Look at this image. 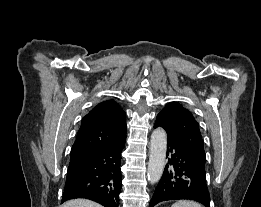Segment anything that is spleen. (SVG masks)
<instances>
[{
    "instance_id": "spleen-1",
    "label": "spleen",
    "mask_w": 261,
    "mask_h": 207,
    "mask_svg": "<svg viewBox=\"0 0 261 207\" xmlns=\"http://www.w3.org/2000/svg\"><path fill=\"white\" fill-rule=\"evenodd\" d=\"M171 207H203L200 204L194 202V201H189V200H180L173 204Z\"/></svg>"
}]
</instances>
